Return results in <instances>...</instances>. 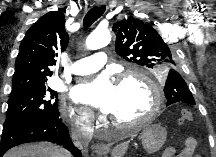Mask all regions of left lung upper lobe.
<instances>
[{
  "label": "left lung upper lobe",
  "mask_w": 216,
  "mask_h": 157,
  "mask_svg": "<svg viewBox=\"0 0 216 157\" xmlns=\"http://www.w3.org/2000/svg\"><path fill=\"white\" fill-rule=\"evenodd\" d=\"M116 33V53L125 60L149 69H158L159 74H168L164 93L167 104L183 102L195 105L186 82L180 76L181 64L173 54L172 39L159 35L161 27H152L133 16L113 24ZM172 100V101H171Z\"/></svg>",
  "instance_id": "1"
}]
</instances>
